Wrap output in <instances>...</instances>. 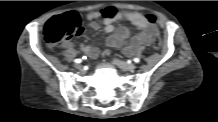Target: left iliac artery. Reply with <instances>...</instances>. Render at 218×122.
Segmentation results:
<instances>
[{
  "label": "left iliac artery",
  "instance_id": "obj_1",
  "mask_svg": "<svg viewBox=\"0 0 218 122\" xmlns=\"http://www.w3.org/2000/svg\"><path fill=\"white\" fill-rule=\"evenodd\" d=\"M133 61H134L135 63H139V62H140V59H139V58H134Z\"/></svg>",
  "mask_w": 218,
  "mask_h": 122
}]
</instances>
